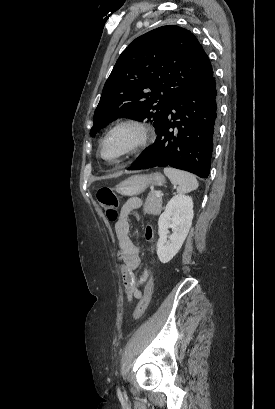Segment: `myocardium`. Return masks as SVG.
Segmentation results:
<instances>
[{"label":"myocardium","instance_id":"obj_1","mask_svg":"<svg viewBox=\"0 0 275 409\" xmlns=\"http://www.w3.org/2000/svg\"><path fill=\"white\" fill-rule=\"evenodd\" d=\"M120 133H128L131 138L123 149L114 156H107L105 154V147L107 143ZM148 138V130L144 123L137 120H124L115 124L105 135L100 144L101 157H125L142 145H144Z\"/></svg>","mask_w":275,"mask_h":409}]
</instances>
